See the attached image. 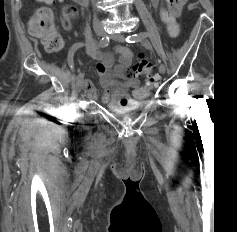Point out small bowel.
Instances as JSON below:
<instances>
[{
    "mask_svg": "<svg viewBox=\"0 0 237 232\" xmlns=\"http://www.w3.org/2000/svg\"><path fill=\"white\" fill-rule=\"evenodd\" d=\"M150 2L154 9H158L160 0H150ZM186 2L187 0H167V5L178 16ZM73 19L67 18L63 11L60 21L63 29L70 30ZM86 44L88 53L98 61L95 72L99 76L103 88L102 100L104 103L124 104L131 102L130 92L136 99H143L149 95V90L141 87L139 80L131 72L130 66L134 54L129 48L125 46L115 47L114 50L119 55L118 64H115L112 55L98 50L91 39ZM84 89L88 97L96 98L98 96V91L91 80L84 81Z\"/></svg>",
    "mask_w": 237,
    "mask_h": 232,
    "instance_id": "obj_1",
    "label": "small bowel"
}]
</instances>
